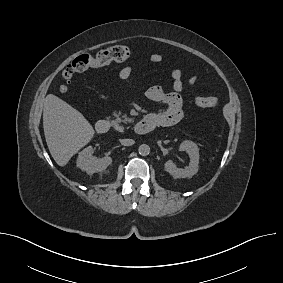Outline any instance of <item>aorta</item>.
I'll list each match as a JSON object with an SVG mask.
<instances>
[{
	"label": "aorta",
	"mask_w": 283,
	"mask_h": 283,
	"mask_svg": "<svg viewBox=\"0 0 283 283\" xmlns=\"http://www.w3.org/2000/svg\"><path fill=\"white\" fill-rule=\"evenodd\" d=\"M138 152L141 156H147L150 153V147L147 144H142L139 146Z\"/></svg>",
	"instance_id": "1"
}]
</instances>
